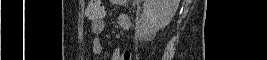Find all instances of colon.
<instances>
[{"label":"colon","mask_w":267,"mask_h":60,"mask_svg":"<svg viewBox=\"0 0 267 60\" xmlns=\"http://www.w3.org/2000/svg\"><path fill=\"white\" fill-rule=\"evenodd\" d=\"M89 7V19L96 20L101 16L104 11V1L103 0H90L88 3Z\"/></svg>","instance_id":"colon-1"}]
</instances>
